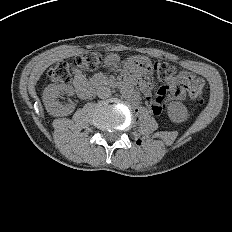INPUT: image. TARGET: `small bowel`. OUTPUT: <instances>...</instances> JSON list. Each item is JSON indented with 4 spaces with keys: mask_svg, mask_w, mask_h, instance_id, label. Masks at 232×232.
Instances as JSON below:
<instances>
[{
    "mask_svg": "<svg viewBox=\"0 0 232 232\" xmlns=\"http://www.w3.org/2000/svg\"><path fill=\"white\" fill-rule=\"evenodd\" d=\"M104 63L108 70H115L123 67L129 74H135L137 79L148 81L153 73L154 66L148 58L137 56L135 58H124L121 55H109L105 58ZM86 82V77L81 72H76L74 77V86L77 88ZM197 82L203 85V81L196 78L189 72H180L173 80L157 90L156 98L152 97L151 90L147 84L144 91L150 109L154 114H159L164 105L172 100H183L186 93V86L190 83Z\"/></svg>",
    "mask_w": 232,
    "mask_h": 232,
    "instance_id": "obj_1",
    "label": "small bowel"
}]
</instances>
